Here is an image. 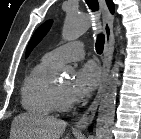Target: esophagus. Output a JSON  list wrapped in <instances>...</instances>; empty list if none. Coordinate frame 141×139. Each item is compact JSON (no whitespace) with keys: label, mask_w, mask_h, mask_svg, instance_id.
Listing matches in <instances>:
<instances>
[{"label":"esophagus","mask_w":141,"mask_h":139,"mask_svg":"<svg viewBox=\"0 0 141 139\" xmlns=\"http://www.w3.org/2000/svg\"><path fill=\"white\" fill-rule=\"evenodd\" d=\"M101 11H102V19H103V30L105 34V45H104V57H103V65H102V77L101 83L98 88L97 94L84 112V114L79 118V120L75 124V128L78 130H85L89 124L93 121L100 99L102 97L104 88L107 84L110 68H111V61L113 57L114 51V33H113V16L110 13L105 0H99Z\"/></svg>","instance_id":"esophagus-1"}]
</instances>
